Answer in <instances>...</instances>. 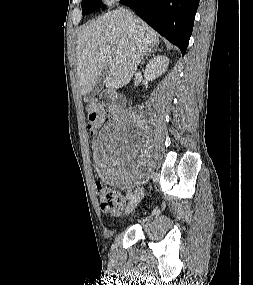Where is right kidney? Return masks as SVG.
<instances>
[{"label":"right kidney","mask_w":253,"mask_h":285,"mask_svg":"<svg viewBox=\"0 0 253 285\" xmlns=\"http://www.w3.org/2000/svg\"><path fill=\"white\" fill-rule=\"evenodd\" d=\"M169 59L165 55H158L151 59L145 68V78L152 81L166 72Z\"/></svg>","instance_id":"1"}]
</instances>
